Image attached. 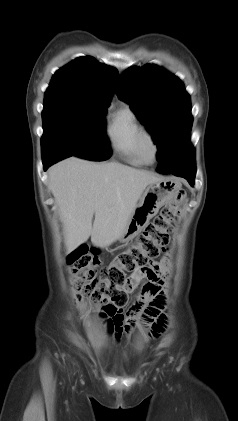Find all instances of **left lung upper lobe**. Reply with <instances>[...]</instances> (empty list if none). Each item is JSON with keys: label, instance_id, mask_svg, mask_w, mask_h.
Returning <instances> with one entry per match:
<instances>
[{"label": "left lung upper lobe", "instance_id": "obj_1", "mask_svg": "<svg viewBox=\"0 0 238 421\" xmlns=\"http://www.w3.org/2000/svg\"><path fill=\"white\" fill-rule=\"evenodd\" d=\"M116 94L151 133L159 150L160 173L195 161L190 96L178 77L156 65L131 67L121 76Z\"/></svg>", "mask_w": 238, "mask_h": 421}]
</instances>
